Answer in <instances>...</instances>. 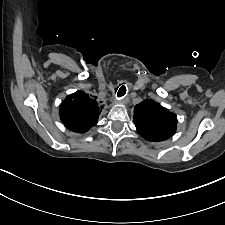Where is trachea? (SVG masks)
I'll use <instances>...</instances> for the list:
<instances>
[{"instance_id": "obj_1", "label": "trachea", "mask_w": 225, "mask_h": 225, "mask_svg": "<svg viewBox=\"0 0 225 225\" xmlns=\"http://www.w3.org/2000/svg\"><path fill=\"white\" fill-rule=\"evenodd\" d=\"M116 91H117V89H116ZM125 93H126V87H125V85L122 84L118 90L117 96L122 97L125 95Z\"/></svg>"}]
</instances>
